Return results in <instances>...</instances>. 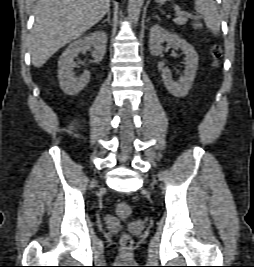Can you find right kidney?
Here are the masks:
<instances>
[{"mask_svg": "<svg viewBox=\"0 0 254 267\" xmlns=\"http://www.w3.org/2000/svg\"><path fill=\"white\" fill-rule=\"evenodd\" d=\"M106 44V33L103 30H98L74 41L62 53L58 61V79L61 89L66 94H78L90 80L88 71L79 77L74 76L72 70L75 67V57L81 52L92 51L95 61L100 62L105 55Z\"/></svg>", "mask_w": 254, "mask_h": 267, "instance_id": "1", "label": "right kidney"}]
</instances>
